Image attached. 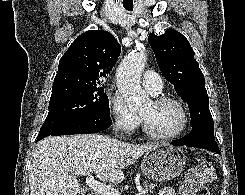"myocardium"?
<instances>
[{"label":"myocardium","instance_id":"myocardium-1","mask_svg":"<svg viewBox=\"0 0 245 195\" xmlns=\"http://www.w3.org/2000/svg\"><path fill=\"white\" fill-rule=\"evenodd\" d=\"M152 103L154 105H162V104L176 105L180 109L183 119L180 127L175 132H172L170 134H155L149 129L143 117L140 116L141 123H142V130L146 136L154 140L167 141V140L177 138L187 131L190 124V114L187 107L184 105L182 101L170 96H158L152 100Z\"/></svg>","mask_w":245,"mask_h":195}]
</instances>
